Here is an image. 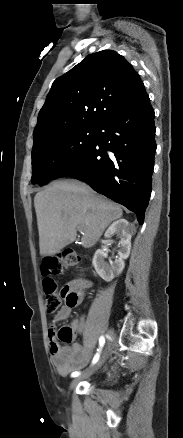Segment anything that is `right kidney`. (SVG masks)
Here are the masks:
<instances>
[{"instance_id": "ca27d5eb", "label": "right kidney", "mask_w": 183, "mask_h": 438, "mask_svg": "<svg viewBox=\"0 0 183 438\" xmlns=\"http://www.w3.org/2000/svg\"><path fill=\"white\" fill-rule=\"evenodd\" d=\"M134 232V225L130 224L125 219H119L113 222V224H111L106 230L104 235L106 238H110L113 234H117V237L120 238L118 244L119 258L115 259L114 262H105V258H107L106 246H103L102 249H98L95 252L92 263L97 274L103 280L107 282L111 281L114 277L118 276L124 269V260L129 257L131 249V237ZM108 242H110V240L103 241L104 244H107Z\"/></svg>"}]
</instances>
